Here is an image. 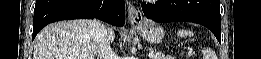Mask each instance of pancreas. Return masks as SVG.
<instances>
[{
    "label": "pancreas",
    "mask_w": 261,
    "mask_h": 59,
    "mask_svg": "<svg viewBox=\"0 0 261 59\" xmlns=\"http://www.w3.org/2000/svg\"><path fill=\"white\" fill-rule=\"evenodd\" d=\"M155 56L151 59H172V57L170 55H165L162 52H155L154 54Z\"/></svg>",
    "instance_id": "pancreas-1"
}]
</instances>
